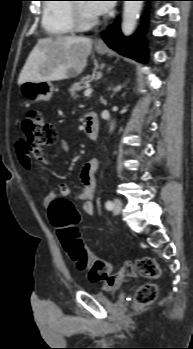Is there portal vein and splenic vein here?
Returning a JSON list of instances; mask_svg holds the SVG:
<instances>
[{"mask_svg":"<svg viewBox=\"0 0 193 349\" xmlns=\"http://www.w3.org/2000/svg\"><path fill=\"white\" fill-rule=\"evenodd\" d=\"M93 92V89L92 88H87L85 91H84V96H89L91 95V93Z\"/></svg>","mask_w":193,"mask_h":349,"instance_id":"obj_1","label":"portal vein and splenic vein"}]
</instances>
